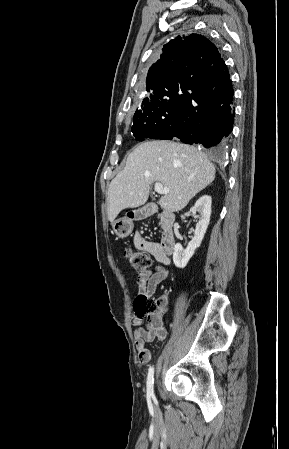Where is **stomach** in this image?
Segmentation results:
<instances>
[{"instance_id":"1","label":"stomach","mask_w":289,"mask_h":449,"mask_svg":"<svg viewBox=\"0 0 289 449\" xmlns=\"http://www.w3.org/2000/svg\"><path fill=\"white\" fill-rule=\"evenodd\" d=\"M133 219L127 216L113 222V230L118 238H126L133 231Z\"/></svg>"}]
</instances>
